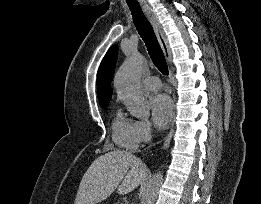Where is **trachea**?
<instances>
[{"label": "trachea", "mask_w": 261, "mask_h": 204, "mask_svg": "<svg viewBox=\"0 0 261 204\" xmlns=\"http://www.w3.org/2000/svg\"><path fill=\"white\" fill-rule=\"evenodd\" d=\"M128 6L132 12L135 27L147 47L152 62L163 75H168L167 62L151 24L138 4H128Z\"/></svg>", "instance_id": "3493384b"}]
</instances>
